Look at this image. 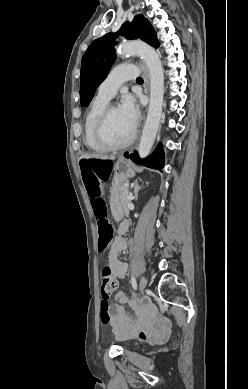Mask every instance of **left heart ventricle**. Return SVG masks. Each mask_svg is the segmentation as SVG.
Instances as JSON below:
<instances>
[{"label": "left heart ventricle", "mask_w": 248, "mask_h": 389, "mask_svg": "<svg viewBox=\"0 0 248 389\" xmlns=\"http://www.w3.org/2000/svg\"><path fill=\"white\" fill-rule=\"evenodd\" d=\"M134 127L125 119L119 107L114 108L109 116L107 136L115 143L125 141L132 133Z\"/></svg>", "instance_id": "1"}]
</instances>
